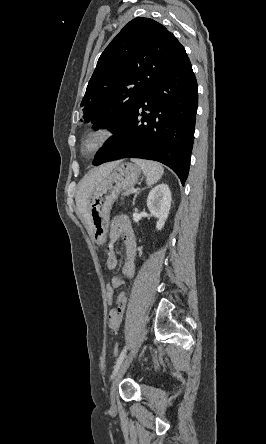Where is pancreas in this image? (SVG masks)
Here are the masks:
<instances>
[{
	"instance_id": "obj_1",
	"label": "pancreas",
	"mask_w": 266,
	"mask_h": 444,
	"mask_svg": "<svg viewBox=\"0 0 266 444\" xmlns=\"http://www.w3.org/2000/svg\"><path fill=\"white\" fill-rule=\"evenodd\" d=\"M134 191H133V188H128V189H126L125 191H124V193H123V196H129L130 194H132Z\"/></svg>"
}]
</instances>
